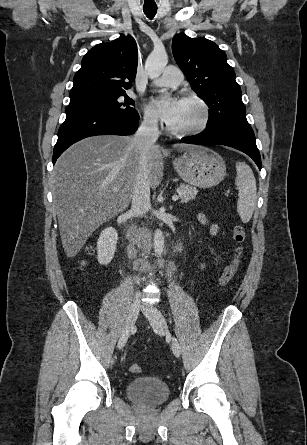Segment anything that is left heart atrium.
Segmentation results:
<instances>
[{
    "instance_id": "left-heart-atrium-1",
    "label": "left heart atrium",
    "mask_w": 307,
    "mask_h": 445,
    "mask_svg": "<svg viewBox=\"0 0 307 445\" xmlns=\"http://www.w3.org/2000/svg\"><path fill=\"white\" fill-rule=\"evenodd\" d=\"M183 103V99L173 94L159 93L149 101V107L170 125L180 115Z\"/></svg>"
}]
</instances>
